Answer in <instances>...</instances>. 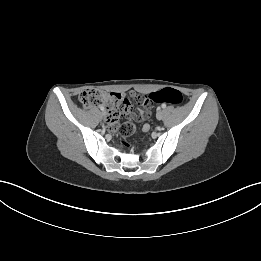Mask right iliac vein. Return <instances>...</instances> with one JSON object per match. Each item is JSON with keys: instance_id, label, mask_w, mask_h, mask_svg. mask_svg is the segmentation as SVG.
Listing matches in <instances>:
<instances>
[{"instance_id": "right-iliac-vein-1", "label": "right iliac vein", "mask_w": 261, "mask_h": 261, "mask_svg": "<svg viewBox=\"0 0 261 261\" xmlns=\"http://www.w3.org/2000/svg\"><path fill=\"white\" fill-rule=\"evenodd\" d=\"M102 115L105 116V115H106V111H103V112H102Z\"/></svg>"}]
</instances>
